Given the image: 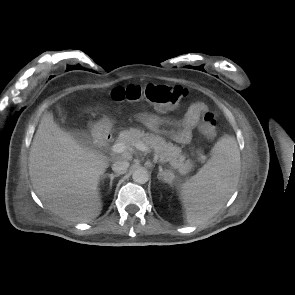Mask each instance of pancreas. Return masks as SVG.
<instances>
[{
    "mask_svg": "<svg viewBox=\"0 0 295 295\" xmlns=\"http://www.w3.org/2000/svg\"><path fill=\"white\" fill-rule=\"evenodd\" d=\"M117 142H123L130 146L143 143L154 150L160 162H169L171 167L178 169L181 173L189 172L193 167L192 161L186 159L180 147L173 145L171 142H166L164 138L158 135L145 133L137 128L121 131Z\"/></svg>",
    "mask_w": 295,
    "mask_h": 295,
    "instance_id": "cf45deb5",
    "label": "pancreas"
}]
</instances>
